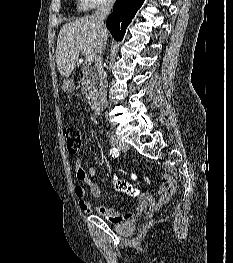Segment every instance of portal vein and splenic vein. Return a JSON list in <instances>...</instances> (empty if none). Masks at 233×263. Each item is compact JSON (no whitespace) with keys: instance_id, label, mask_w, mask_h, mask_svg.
Segmentation results:
<instances>
[{"instance_id":"1","label":"portal vein and splenic vein","mask_w":233,"mask_h":263,"mask_svg":"<svg viewBox=\"0 0 233 263\" xmlns=\"http://www.w3.org/2000/svg\"><path fill=\"white\" fill-rule=\"evenodd\" d=\"M86 61H87L88 63L93 62V61H94V55H93V54H88V55H86Z\"/></svg>"}]
</instances>
